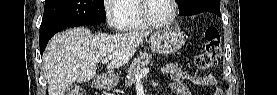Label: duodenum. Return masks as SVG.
<instances>
[{
  "label": "duodenum",
  "instance_id": "duodenum-1",
  "mask_svg": "<svg viewBox=\"0 0 277 95\" xmlns=\"http://www.w3.org/2000/svg\"><path fill=\"white\" fill-rule=\"evenodd\" d=\"M97 87H99V88H103V87H105V84H104V77H98L97 78Z\"/></svg>",
  "mask_w": 277,
  "mask_h": 95
}]
</instances>
